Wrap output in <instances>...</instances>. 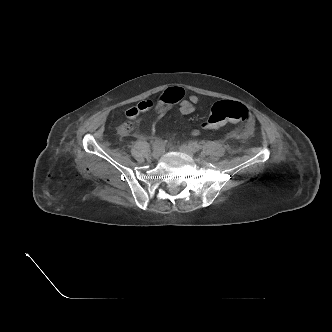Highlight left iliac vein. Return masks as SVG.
Masks as SVG:
<instances>
[{
  "instance_id": "1",
  "label": "left iliac vein",
  "mask_w": 332,
  "mask_h": 332,
  "mask_svg": "<svg viewBox=\"0 0 332 332\" xmlns=\"http://www.w3.org/2000/svg\"><path fill=\"white\" fill-rule=\"evenodd\" d=\"M180 150L190 156H192L194 154V150L192 149V147L188 144H182L180 146Z\"/></svg>"
}]
</instances>
